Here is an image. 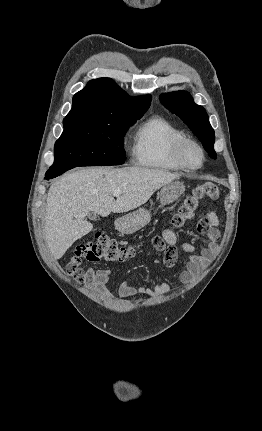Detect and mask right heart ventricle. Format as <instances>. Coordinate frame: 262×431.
<instances>
[{"instance_id": "1", "label": "right heart ventricle", "mask_w": 262, "mask_h": 431, "mask_svg": "<svg viewBox=\"0 0 262 431\" xmlns=\"http://www.w3.org/2000/svg\"><path fill=\"white\" fill-rule=\"evenodd\" d=\"M184 134L166 119L152 116L143 121L134 135L133 154L138 165L165 171H180L173 158L175 144Z\"/></svg>"}]
</instances>
